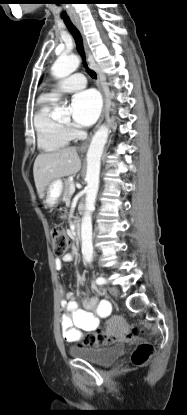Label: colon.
<instances>
[{
  "mask_svg": "<svg viewBox=\"0 0 187 415\" xmlns=\"http://www.w3.org/2000/svg\"><path fill=\"white\" fill-rule=\"evenodd\" d=\"M51 237L53 240V252L56 256L63 255L69 245L70 240L65 233L64 229L60 225H54L51 228ZM141 333V330L137 327L127 328L124 324L116 321L111 328L105 331H99L94 334L87 335L84 338L86 345L102 347L110 345L121 339H132L137 337ZM154 352V346L152 342L145 341L140 343L134 352L131 359L133 364L141 366L144 365Z\"/></svg>",
  "mask_w": 187,
  "mask_h": 415,
  "instance_id": "obj_1",
  "label": "colon"
}]
</instances>
